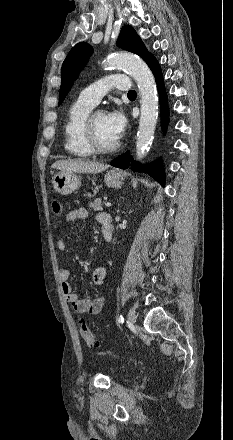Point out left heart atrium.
I'll list each match as a JSON object with an SVG mask.
<instances>
[{"mask_svg":"<svg viewBox=\"0 0 233 440\" xmlns=\"http://www.w3.org/2000/svg\"><path fill=\"white\" fill-rule=\"evenodd\" d=\"M107 119L111 130L119 139L123 135L127 124L124 114L119 110L113 111L107 114Z\"/></svg>","mask_w":233,"mask_h":440,"instance_id":"1","label":"left heart atrium"}]
</instances>
